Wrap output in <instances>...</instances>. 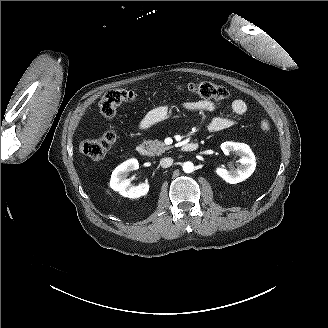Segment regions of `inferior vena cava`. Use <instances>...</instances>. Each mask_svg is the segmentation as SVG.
<instances>
[{"label": "inferior vena cava", "mask_w": 328, "mask_h": 328, "mask_svg": "<svg viewBox=\"0 0 328 328\" xmlns=\"http://www.w3.org/2000/svg\"><path fill=\"white\" fill-rule=\"evenodd\" d=\"M173 163V158H170V157H166V158H162L160 160V165L161 167L163 168H168L172 165Z\"/></svg>", "instance_id": "1"}]
</instances>
